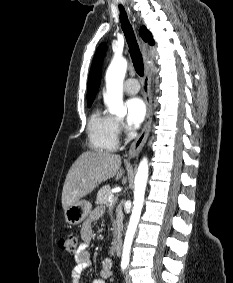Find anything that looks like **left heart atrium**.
Instances as JSON below:
<instances>
[{
	"label": "left heart atrium",
	"mask_w": 233,
	"mask_h": 283,
	"mask_svg": "<svg viewBox=\"0 0 233 283\" xmlns=\"http://www.w3.org/2000/svg\"><path fill=\"white\" fill-rule=\"evenodd\" d=\"M126 122L130 129L138 128L146 115V107L143 100L139 97L129 98L126 103Z\"/></svg>",
	"instance_id": "obj_1"
}]
</instances>
